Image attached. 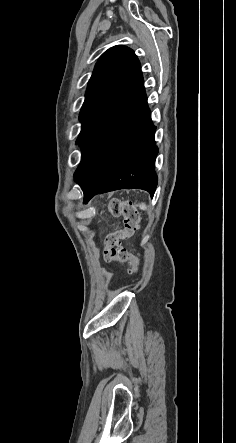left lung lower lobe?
Returning a JSON list of instances; mask_svg holds the SVG:
<instances>
[{
	"mask_svg": "<svg viewBox=\"0 0 236 443\" xmlns=\"http://www.w3.org/2000/svg\"><path fill=\"white\" fill-rule=\"evenodd\" d=\"M155 130L140 73L78 142L82 159L74 176L84 203L96 194L124 188L144 189L153 197L158 182Z\"/></svg>",
	"mask_w": 236,
	"mask_h": 443,
	"instance_id": "left-lung-lower-lobe-1",
	"label": "left lung lower lobe"
}]
</instances>
